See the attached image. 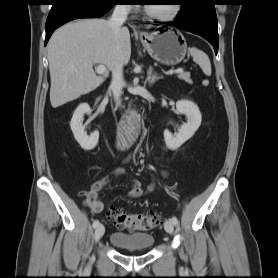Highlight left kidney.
Here are the masks:
<instances>
[{
	"instance_id": "5707ae66",
	"label": "left kidney",
	"mask_w": 278,
	"mask_h": 278,
	"mask_svg": "<svg viewBox=\"0 0 278 278\" xmlns=\"http://www.w3.org/2000/svg\"><path fill=\"white\" fill-rule=\"evenodd\" d=\"M177 112L185 114L187 123L181 125L178 133L172 135L169 130L164 131L166 146L171 150L178 149L183 143L189 140L201 125L202 116L198 106L189 100H180L176 103Z\"/></svg>"
}]
</instances>
